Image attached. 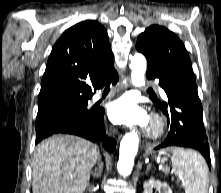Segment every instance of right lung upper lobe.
<instances>
[{"mask_svg": "<svg viewBox=\"0 0 221 193\" xmlns=\"http://www.w3.org/2000/svg\"><path fill=\"white\" fill-rule=\"evenodd\" d=\"M113 53L105 28L82 21L55 43L41 82L38 103L54 99H87L102 87L114 69Z\"/></svg>", "mask_w": 221, "mask_h": 193, "instance_id": "obj_1", "label": "right lung upper lobe"}]
</instances>
